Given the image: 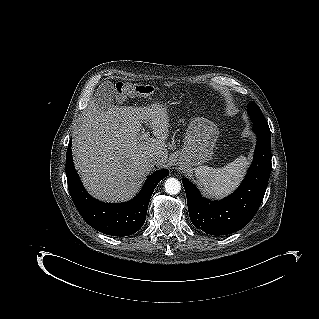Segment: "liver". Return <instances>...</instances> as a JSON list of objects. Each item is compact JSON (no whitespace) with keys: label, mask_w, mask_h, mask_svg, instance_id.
I'll return each instance as SVG.
<instances>
[{"label":"liver","mask_w":319,"mask_h":319,"mask_svg":"<svg viewBox=\"0 0 319 319\" xmlns=\"http://www.w3.org/2000/svg\"><path fill=\"white\" fill-rule=\"evenodd\" d=\"M100 96L97 92L90 101L73 136L74 165L92 196L123 202L138 192L153 169L150 157L160 156V165L168 161L166 107L157 103L146 109L110 103L101 106ZM146 121L155 138L144 141L140 131Z\"/></svg>","instance_id":"liver-1"}]
</instances>
